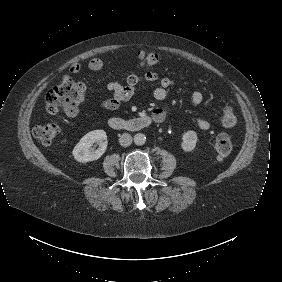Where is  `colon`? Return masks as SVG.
I'll return each mask as SVG.
<instances>
[{"instance_id":"colon-1","label":"colon","mask_w":282,"mask_h":282,"mask_svg":"<svg viewBox=\"0 0 282 282\" xmlns=\"http://www.w3.org/2000/svg\"><path fill=\"white\" fill-rule=\"evenodd\" d=\"M138 58L142 67L160 63V55L153 51H142ZM85 98L84 85L65 75L47 92L45 108L48 113L56 114L59 109H68L73 105L83 104ZM220 121L225 127H235L238 123V115L233 108L224 107L220 113ZM57 134L58 125L55 122L45 123L35 129V137L43 144L52 143ZM214 149L218 159H225L233 150V142L228 135L219 134L214 139Z\"/></svg>"}]
</instances>
